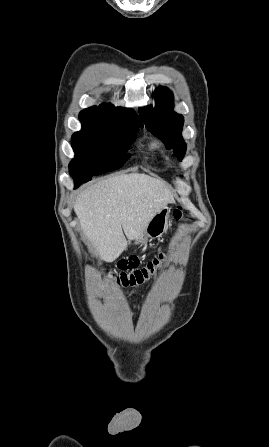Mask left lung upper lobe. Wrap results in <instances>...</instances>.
<instances>
[{"instance_id": "1", "label": "left lung upper lobe", "mask_w": 269, "mask_h": 447, "mask_svg": "<svg viewBox=\"0 0 269 447\" xmlns=\"http://www.w3.org/2000/svg\"><path fill=\"white\" fill-rule=\"evenodd\" d=\"M154 97L155 107L141 108L140 116L148 131L161 139L168 148H174L175 155L182 160L186 152V144L181 136L183 116L173 111V94L168 88H157Z\"/></svg>"}]
</instances>
